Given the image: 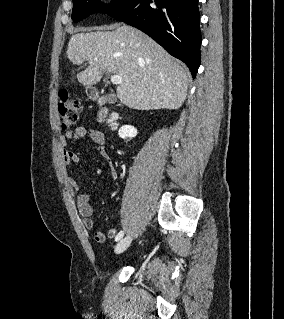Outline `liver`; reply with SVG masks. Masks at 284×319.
I'll return each instance as SVG.
<instances>
[{
    "instance_id": "1",
    "label": "liver",
    "mask_w": 284,
    "mask_h": 319,
    "mask_svg": "<svg viewBox=\"0 0 284 319\" xmlns=\"http://www.w3.org/2000/svg\"><path fill=\"white\" fill-rule=\"evenodd\" d=\"M69 43L70 62L89 66L77 74L85 86L97 84L104 73L122 77L117 87L121 103L137 110L178 109L187 96L190 72L143 32L128 26L113 31L80 29Z\"/></svg>"
}]
</instances>
